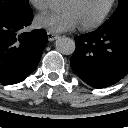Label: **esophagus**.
<instances>
[{
  "label": "esophagus",
  "instance_id": "esophagus-1",
  "mask_svg": "<svg viewBox=\"0 0 128 128\" xmlns=\"http://www.w3.org/2000/svg\"><path fill=\"white\" fill-rule=\"evenodd\" d=\"M47 37L49 41H54L55 39L58 38V35L52 33V32H47Z\"/></svg>",
  "mask_w": 128,
  "mask_h": 128
}]
</instances>
